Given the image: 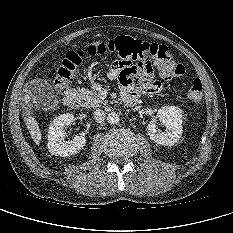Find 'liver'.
I'll use <instances>...</instances> for the list:
<instances>
[{
  "instance_id": "liver-1",
  "label": "liver",
  "mask_w": 233,
  "mask_h": 233,
  "mask_svg": "<svg viewBox=\"0 0 233 233\" xmlns=\"http://www.w3.org/2000/svg\"><path fill=\"white\" fill-rule=\"evenodd\" d=\"M101 44V41L94 42L90 46H99ZM35 98L32 97V93L27 91L24 95V103L27 106V109H29L31 106L29 103L31 101H34ZM28 117L26 118V126L29 130L30 136L33 139V141L38 145L42 138V133L39 127V124L37 123L36 119L31 116L30 110H27Z\"/></svg>"
}]
</instances>
